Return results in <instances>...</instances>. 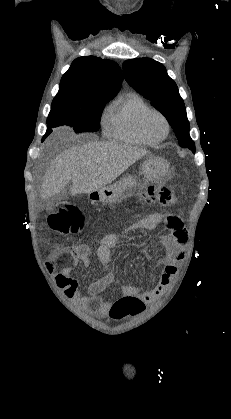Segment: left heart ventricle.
<instances>
[{
  "mask_svg": "<svg viewBox=\"0 0 231 419\" xmlns=\"http://www.w3.org/2000/svg\"><path fill=\"white\" fill-rule=\"evenodd\" d=\"M145 130L147 134L154 138H160L166 131L163 119L158 114H150L145 120Z\"/></svg>",
  "mask_w": 231,
  "mask_h": 419,
  "instance_id": "1",
  "label": "left heart ventricle"
}]
</instances>
